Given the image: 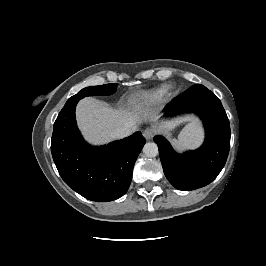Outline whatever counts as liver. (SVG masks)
Here are the masks:
<instances>
[{"mask_svg":"<svg viewBox=\"0 0 266 266\" xmlns=\"http://www.w3.org/2000/svg\"><path fill=\"white\" fill-rule=\"evenodd\" d=\"M80 130L85 138L94 144H101L114 139L117 128L132 124V129L142 120L140 112L113 109L93 97L82 99L76 109ZM146 118V114H144ZM174 122H164L162 128H170Z\"/></svg>","mask_w":266,"mask_h":266,"instance_id":"obj_1","label":"liver"}]
</instances>
